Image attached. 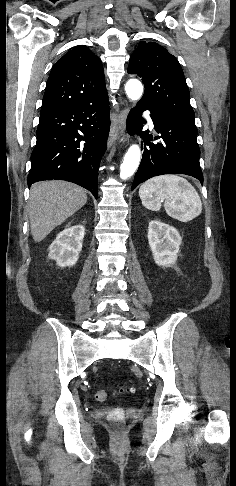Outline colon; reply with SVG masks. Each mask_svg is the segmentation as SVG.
Masks as SVG:
<instances>
[{
	"instance_id": "1",
	"label": "colon",
	"mask_w": 236,
	"mask_h": 486,
	"mask_svg": "<svg viewBox=\"0 0 236 486\" xmlns=\"http://www.w3.org/2000/svg\"><path fill=\"white\" fill-rule=\"evenodd\" d=\"M135 389L134 387H126V388H121L120 392L121 393H130L133 392ZM108 397V393L106 390H99L96 393V399L100 402L106 401ZM125 419V413L124 410L121 407H116L111 412L109 413V420L110 422L116 427L120 428Z\"/></svg>"
}]
</instances>
